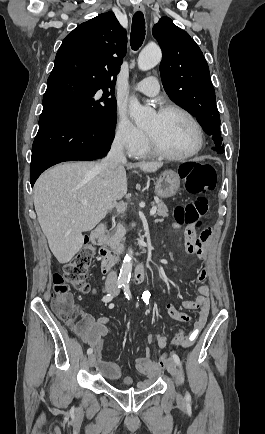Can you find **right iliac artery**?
I'll return each mask as SVG.
<instances>
[{
	"mask_svg": "<svg viewBox=\"0 0 265 434\" xmlns=\"http://www.w3.org/2000/svg\"><path fill=\"white\" fill-rule=\"evenodd\" d=\"M124 282L118 281L117 282V288L120 289L122 286H124ZM114 298V294H107L105 296H103L102 301L105 303L110 302L112 299ZM93 353V349L92 348H88L87 349V354L91 355Z\"/></svg>",
	"mask_w": 265,
	"mask_h": 434,
	"instance_id": "obj_1",
	"label": "right iliac artery"
}]
</instances>
